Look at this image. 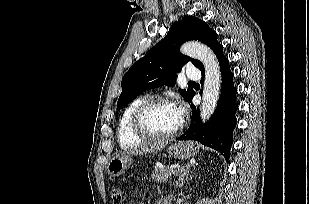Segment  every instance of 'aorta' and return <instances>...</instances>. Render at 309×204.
<instances>
[{
	"mask_svg": "<svg viewBox=\"0 0 309 204\" xmlns=\"http://www.w3.org/2000/svg\"><path fill=\"white\" fill-rule=\"evenodd\" d=\"M181 52L199 60L204 66L205 79L201 104V120L206 122L215 111L220 95L221 72L218 60L209 47L198 42L183 44Z\"/></svg>",
	"mask_w": 309,
	"mask_h": 204,
	"instance_id": "762f6f07",
	"label": "aorta"
}]
</instances>
